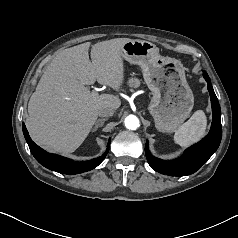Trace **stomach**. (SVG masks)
I'll return each instance as SVG.
<instances>
[{"mask_svg": "<svg viewBox=\"0 0 238 238\" xmlns=\"http://www.w3.org/2000/svg\"><path fill=\"white\" fill-rule=\"evenodd\" d=\"M122 57L139 65L144 80L152 92L149 112L161 132H174L191 113L194 96L189 87L183 64L159 54L155 44L145 40H130L123 44Z\"/></svg>", "mask_w": 238, "mask_h": 238, "instance_id": "1", "label": "stomach"}]
</instances>
